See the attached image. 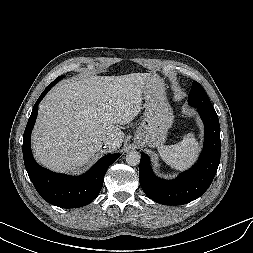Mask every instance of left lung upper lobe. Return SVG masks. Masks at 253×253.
I'll return each mask as SVG.
<instances>
[{"label": "left lung upper lobe", "instance_id": "obj_1", "mask_svg": "<svg viewBox=\"0 0 253 253\" xmlns=\"http://www.w3.org/2000/svg\"><path fill=\"white\" fill-rule=\"evenodd\" d=\"M189 104L195 107L214 109L203 87L196 81L193 82L188 96Z\"/></svg>", "mask_w": 253, "mask_h": 253}]
</instances>
